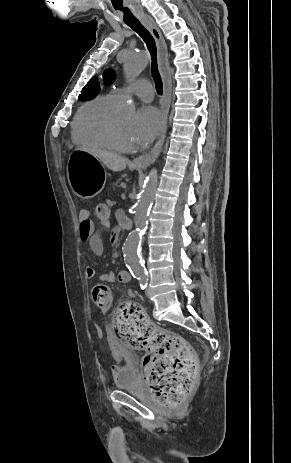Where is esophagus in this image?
I'll return each mask as SVG.
<instances>
[{
	"label": "esophagus",
	"mask_w": 291,
	"mask_h": 463,
	"mask_svg": "<svg viewBox=\"0 0 291 463\" xmlns=\"http://www.w3.org/2000/svg\"><path fill=\"white\" fill-rule=\"evenodd\" d=\"M143 25L151 32L152 36L154 37L157 48H158V63L159 69L162 74L163 84H164V92L162 97L161 103V110H162V119H163V127L154 147L145 154L135 158L133 163L140 167H147L152 164L157 157L159 156L162 146L165 140L166 131H167V116L169 111V102H170V95H171V76L169 73V61H168V53H167V46L165 40L162 36L160 29L158 28L155 21L149 17H143L141 19Z\"/></svg>",
	"instance_id": "34e87169"
}]
</instances>
